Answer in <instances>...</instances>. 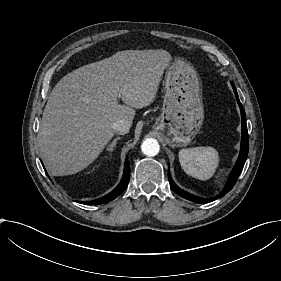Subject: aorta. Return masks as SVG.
<instances>
[{
  "label": "aorta",
  "instance_id": "1",
  "mask_svg": "<svg viewBox=\"0 0 281 281\" xmlns=\"http://www.w3.org/2000/svg\"><path fill=\"white\" fill-rule=\"evenodd\" d=\"M141 150L145 155L152 157L159 153L160 146L156 139L147 138L143 141Z\"/></svg>",
  "mask_w": 281,
  "mask_h": 281
}]
</instances>
